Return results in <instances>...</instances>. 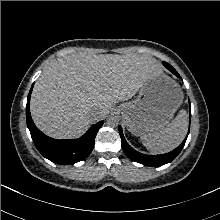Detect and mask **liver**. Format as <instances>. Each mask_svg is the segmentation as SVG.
<instances>
[{
	"label": "liver",
	"instance_id": "1",
	"mask_svg": "<svg viewBox=\"0 0 220 220\" xmlns=\"http://www.w3.org/2000/svg\"><path fill=\"white\" fill-rule=\"evenodd\" d=\"M161 71L153 58L136 54L65 56L47 66L36 82L30 111L48 136L75 138L103 119L119 101L132 98ZM95 110L96 115L91 111Z\"/></svg>",
	"mask_w": 220,
	"mask_h": 220
}]
</instances>
